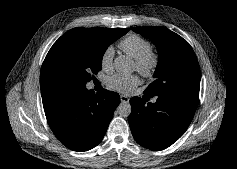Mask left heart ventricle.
<instances>
[{
    "instance_id": "b2bd125f",
    "label": "left heart ventricle",
    "mask_w": 237,
    "mask_h": 169,
    "mask_svg": "<svg viewBox=\"0 0 237 169\" xmlns=\"http://www.w3.org/2000/svg\"><path fill=\"white\" fill-rule=\"evenodd\" d=\"M134 68H136V64H134Z\"/></svg>"
}]
</instances>
